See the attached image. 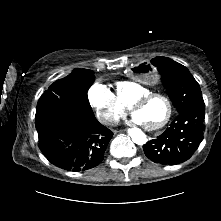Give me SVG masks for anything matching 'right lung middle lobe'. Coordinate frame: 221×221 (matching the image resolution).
Listing matches in <instances>:
<instances>
[{
	"label": "right lung middle lobe",
	"instance_id": "right-lung-middle-lobe-1",
	"mask_svg": "<svg viewBox=\"0 0 221 221\" xmlns=\"http://www.w3.org/2000/svg\"><path fill=\"white\" fill-rule=\"evenodd\" d=\"M93 81V72L83 69L54 82L37 104L35 126L38 133L56 128L67 119L94 120L86 93Z\"/></svg>",
	"mask_w": 221,
	"mask_h": 221
}]
</instances>
